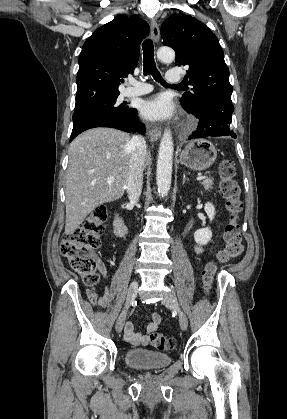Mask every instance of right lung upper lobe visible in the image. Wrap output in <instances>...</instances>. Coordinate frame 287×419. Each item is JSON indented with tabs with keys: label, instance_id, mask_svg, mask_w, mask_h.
I'll return each mask as SVG.
<instances>
[{
	"label": "right lung upper lobe",
	"instance_id": "cb5924a9",
	"mask_svg": "<svg viewBox=\"0 0 287 419\" xmlns=\"http://www.w3.org/2000/svg\"><path fill=\"white\" fill-rule=\"evenodd\" d=\"M148 32V24L138 16L118 15L86 40L78 58L75 107L120 94V78L134 72Z\"/></svg>",
	"mask_w": 287,
	"mask_h": 419
}]
</instances>
